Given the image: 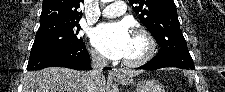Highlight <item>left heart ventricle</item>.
Here are the masks:
<instances>
[{
	"mask_svg": "<svg viewBox=\"0 0 225 92\" xmlns=\"http://www.w3.org/2000/svg\"><path fill=\"white\" fill-rule=\"evenodd\" d=\"M145 52V44L142 39L132 36L131 44L125 59H138Z\"/></svg>",
	"mask_w": 225,
	"mask_h": 92,
	"instance_id": "b2bd125f",
	"label": "left heart ventricle"
}]
</instances>
